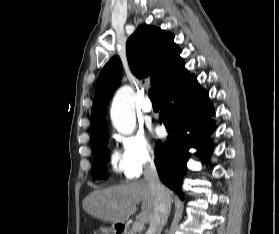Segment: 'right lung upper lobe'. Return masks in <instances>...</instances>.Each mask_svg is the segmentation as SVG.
I'll list each match as a JSON object with an SVG mask.
<instances>
[{
	"mask_svg": "<svg viewBox=\"0 0 279 234\" xmlns=\"http://www.w3.org/2000/svg\"><path fill=\"white\" fill-rule=\"evenodd\" d=\"M174 36L160 28L139 26L127 41V59L133 74L138 78L151 76V84L158 95L184 70L181 50ZM121 62L113 57L102 69L96 83L91 114V144L108 135L106 106L114 90L120 85Z\"/></svg>",
	"mask_w": 279,
	"mask_h": 234,
	"instance_id": "right-lung-upper-lobe-1",
	"label": "right lung upper lobe"
}]
</instances>
